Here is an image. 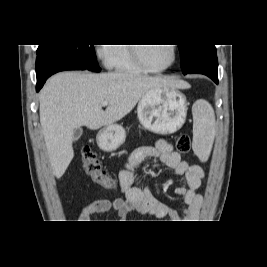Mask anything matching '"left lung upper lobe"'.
<instances>
[{
    "label": "left lung upper lobe",
    "mask_w": 267,
    "mask_h": 267,
    "mask_svg": "<svg viewBox=\"0 0 267 267\" xmlns=\"http://www.w3.org/2000/svg\"><path fill=\"white\" fill-rule=\"evenodd\" d=\"M181 55V69L187 73L201 59L216 55L214 45H179Z\"/></svg>",
    "instance_id": "obj_1"
}]
</instances>
